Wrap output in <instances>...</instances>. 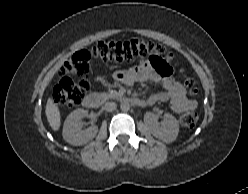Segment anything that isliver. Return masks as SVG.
<instances>
[{"instance_id":"1","label":"liver","mask_w":248,"mask_h":194,"mask_svg":"<svg viewBox=\"0 0 248 194\" xmlns=\"http://www.w3.org/2000/svg\"><path fill=\"white\" fill-rule=\"evenodd\" d=\"M45 114L50 127L54 131H58L61 126L60 110L58 108V105L54 103L51 97H49L47 100Z\"/></svg>"}]
</instances>
